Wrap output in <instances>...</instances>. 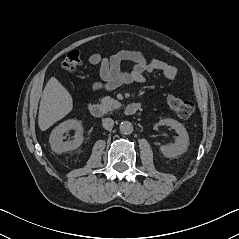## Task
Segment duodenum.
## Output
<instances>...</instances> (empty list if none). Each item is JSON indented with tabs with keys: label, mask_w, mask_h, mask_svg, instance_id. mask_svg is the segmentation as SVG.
<instances>
[{
	"label": "duodenum",
	"mask_w": 239,
	"mask_h": 239,
	"mask_svg": "<svg viewBox=\"0 0 239 239\" xmlns=\"http://www.w3.org/2000/svg\"><path fill=\"white\" fill-rule=\"evenodd\" d=\"M89 112L97 118H101L104 116V108L102 105L96 102H91L88 106ZM141 109V104L138 102L130 103L125 107L126 115H134Z\"/></svg>",
	"instance_id": "1"
}]
</instances>
